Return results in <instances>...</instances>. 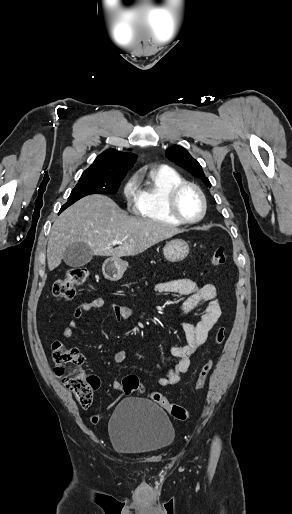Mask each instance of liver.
Wrapping results in <instances>:
<instances>
[{
    "mask_svg": "<svg viewBox=\"0 0 292 514\" xmlns=\"http://www.w3.org/2000/svg\"><path fill=\"white\" fill-rule=\"evenodd\" d=\"M174 226L153 222L148 218L127 216L119 206L100 194L86 196L55 220L47 246L49 270H55L64 252L74 242H85L95 256H136L154 244L181 234ZM122 242L118 248L112 242Z\"/></svg>",
    "mask_w": 292,
    "mask_h": 514,
    "instance_id": "1",
    "label": "liver"
}]
</instances>
